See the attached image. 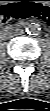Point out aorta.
I'll return each mask as SVG.
<instances>
[{
    "label": "aorta",
    "mask_w": 50,
    "mask_h": 111,
    "mask_svg": "<svg viewBox=\"0 0 50 111\" xmlns=\"http://www.w3.org/2000/svg\"><path fill=\"white\" fill-rule=\"evenodd\" d=\"M40 30H41L40 25L37 23H29L26 27V32L30 35L39 34Z\"/></svg>",
    "instance_id": "obj_1"
}]
</instances>
